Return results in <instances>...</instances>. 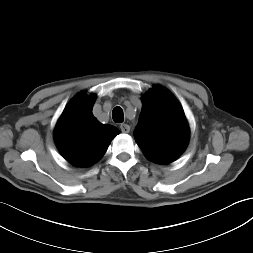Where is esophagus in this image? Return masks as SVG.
Here are the masks:
<instances>
[{
  "label": "esophagus",
  "instance_id": "esophagus-1",
  "mask_svg": "<svg viewBox=\"0 0 253 253\" xmlns=\"http://www.w3.org/2000/svg\"><path fill=\"white\" fill-rule=\"evenodd\" d=\"M120 130L123 132V133H128L130 131V126L127 125V124H121L120 125Z\"/></svg>",
  "mask_w": 253,
  "mask_h": 253
}]
</instances>
